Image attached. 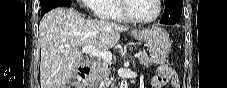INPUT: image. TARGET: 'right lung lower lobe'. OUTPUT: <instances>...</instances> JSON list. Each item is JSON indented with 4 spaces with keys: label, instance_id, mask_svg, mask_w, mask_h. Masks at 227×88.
I'll use <instances>...</instances> for the list:
<instances>
[{
    "label": "right lung lower lobe",
    "instance_id": "right-lung-lower-lobe-1",
    "mask_svg": "<svg viewBox=\"0 0 227 88\" xmlns=\"http://www.w3.org/2000/svg\"><path fill=\"white\" fill-rule=\"evenodd\" d=\"M44 15V13H41V16H43Z\"/></svg>",
    "mask_w": 227,
    "mask_h": 88
}]
</instances>
